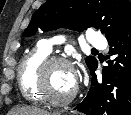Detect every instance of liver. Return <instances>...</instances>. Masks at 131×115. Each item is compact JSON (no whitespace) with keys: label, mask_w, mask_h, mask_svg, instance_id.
Here are the masks:
<instances>
[{"label":"liver","mask_w":131,"mask_h":115,"mask_svg":"<svg viewBox=\"0 0 131 115\" xmlns=\"http://www.w3.org/2000/svg\"><path fill=\"white\" fill-rule=\"evenodd\" d=\"M12 113L14 115H51L40 108L28 106L17 107Z\"/></svg>","instance_id":"obj_1"}]
</instances>
